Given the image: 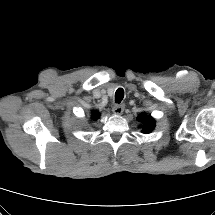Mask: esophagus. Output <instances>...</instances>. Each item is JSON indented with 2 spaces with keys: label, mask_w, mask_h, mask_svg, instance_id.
Here are the masks:
<instances>
[{
  "label": "esophagus",
  "mask_w": 215,
  "mask_h": 215,
  "mask_svg": "<svg viewBox=\"0 0 215 215\" xmlns=\"http://www.w3.org/2000/svg\"><path fill=\"white\" fill-rule=\"evenodd\" d=\"M124 105L123 104H117L113 107L112 111L114 114L120 115L124 111Z\"/></svg>",
  "instance_id": "obj_1"
}]
</instances>
